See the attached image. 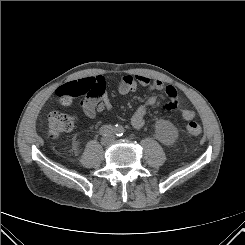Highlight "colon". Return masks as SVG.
<instances>
[{
    "instance_id": "colon-1",
    "label": "colon",
    "mask_w": 245,
    "mask_h": 245,
    "mask_svg": "<svg viewBox=\"0 0 245 245\" xmlns=\"http://www.w3.org/2000/svg\"><path fill=\"white\" fill-rule=\"evenodd\" d=\"M98 94L99 91L95 82L84 78L60 86L56 91V98L61 105L68 106L76 99L84 100ZM74 125L75 119L68 113L54 110L48 116V133L53 138L69 132ZM201 131V126L197 122L191 121L186 126V133L191 138L198 137Z\"/></svg>"
}]
</instances>
